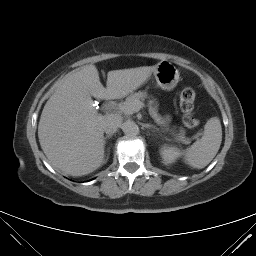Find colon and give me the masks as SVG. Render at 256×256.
<instances>
[{"label":"colon","mask_w":256,"mask_h":256,"mask_svg":"<svg viewBox=\"0 0 256 256\" xmlns=\"http://www.w3.org/2000/svg\"><path fill=\"white\" fill-rule=\"evenodd\" d=\"M196 93L193 88L186 87L180 94V107L183 112V121L188 128H196L200 121L192 116Z\"/></svg>","instance_id":"1"}]
</instances>
